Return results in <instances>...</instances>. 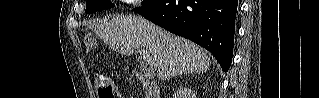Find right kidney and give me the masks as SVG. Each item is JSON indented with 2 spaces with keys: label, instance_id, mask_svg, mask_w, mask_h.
Masks as SVG:
<instances>
[{
  "label": "right kidney",
  "instance_id": "ca27d5eb",
  "mask_svg": "<svg viewBox=\"0 0 319 98\" xmlns=\"http://www.w3.org/2000/svg\"><path fill=\"white\" fill-rule=\"evenodd\" d=\"M185 92L192 98H195V94L192 92V90H185Z\"/></svg>",
  "mask_w": 319,
  "mask_h": 98
}]
</instances>
